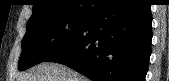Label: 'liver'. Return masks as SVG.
I'll list each match as a JSON object with an SVG mask.
<instances>
[{
    "instance_id": "6515ba94",
    "label": "liver",
    "mask_w": 169,
    "mask_h": 81,
    "mask_svg": "<svg viewBox=\"0 0 169 81\" xmlns=\"http://www.w3.org/2000/svg\"><path fill=\"white\" fill-rule=\"evenodd\" d=\"M17 81H88V78L65 65L43 62L21 74Z\"/></svg>"
}]
</instances>
